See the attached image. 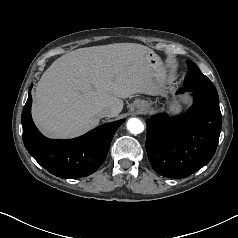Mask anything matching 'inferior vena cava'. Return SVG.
<instances>
[{"label":"inferior vena cava","mask_w":238,"mask_h":238,"mask_svg":"<svg viewBox=\"0 0 238 238\" xmlns=\"http://www.w3.org/2000/svg\"><path fill=\"white\" fill-rule=\"evenodd\" d=\"M99 114L101 117H111L113 116V109L108 107L101 108Z\"/></svg>","instance_id":"1"}]
</instances>
